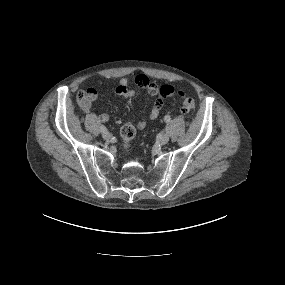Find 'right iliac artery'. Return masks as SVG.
I'll use <instances>...</instances> for the list:
<instances>
[{"instance_id":"1","label":"right iliac artery","mask_w":285,"mask_h":285,"mask_svg":"<svg viewBox=\"0 0 285 285\" xmlns=\"http://www.w3.org/2000/svg\"><path fill=\"white\" fill-rule=\"evenodd\" d=\"M100 130H101V132L106 131V127L102 125V126L100 127Z\"/></svg>"}]
</instances>
